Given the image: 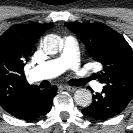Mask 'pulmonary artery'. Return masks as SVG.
<instances>
[{"label":"pulmonary artery","mask_w":133,"mask_h":133,"mask_svg":"<svg viewBox=\"0 0 133 133\" xmlns=\"http://www.w3.org/2000/svg\"><path fill=\"white\" fill-rule=\"evenodd\" d=\"M79 48L76 39L72 36L64 38V45L61 54L52 60L39 64L31 71V78L34 81L54 78L67 69H73L85 82L89 83L95 90H101L98 82L92 81L86 67H79Z\"/></svg>","instance_id":"pulmonary-artery-1"}]
</instances>
